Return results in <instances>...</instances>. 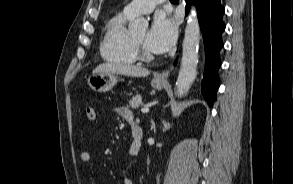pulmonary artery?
<instances>
[{"label": "pulmonary artery", "instance_id": "obj_1", "mask_svg": "<svg viewBox=\"0 0 293 184\" xmlns=\"http://www.w3.org/2000/svg\"><path fill=\"white\" fill-rule=\"evenodd\" d=\"M164 1L165 0H132L124 7L123 12L131 17L147 14L153 11L156 5Z\"/></svg>", "mask_w": 293, "mask_h": 184}]
</instances>
